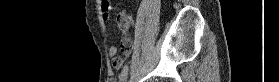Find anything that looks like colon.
<instances>
[{
    "label": "colon",
    "instance_id": "obj_1",
    "mask_svg": "<svg viewBox=\"0 0 279 82\" xmlns=\"http://www.w3.org/2000/svg\"><path fill=\"white\" fill-rule=\"evenodd\" d=\"M117 23L121 28L128 27L131 23V19L126 12L122 11L117 16Z\"/></svg>",
    "mask_w": 279,
    "mask_h": 82
}]
</instances>
